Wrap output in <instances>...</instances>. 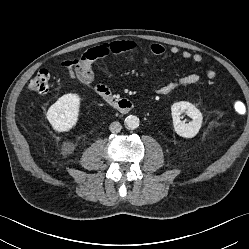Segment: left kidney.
Segmentation results:
<instances>
[{
    "label": "left kidney",
    "instance_id": "left-kidney-1",
    "mask_svg": "<svg viewBox=\"0 0 249 249\" xmlns=\"http://www.w3.org/2000/svg\"><path fill=\"white\" fill-rule=\"evenodd\" d=\"M186 113L192 121H181V114ZM173 126L175 132L184 138H193L202 126L203 116L199 109L187 101L176 102L171 106Z\"/></svg>",
    "mask_w": 249,
    "mask_h": 249
}]
</instances>
